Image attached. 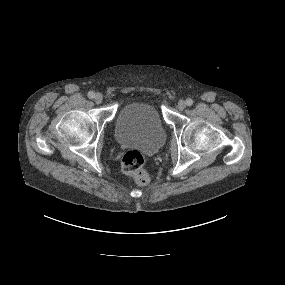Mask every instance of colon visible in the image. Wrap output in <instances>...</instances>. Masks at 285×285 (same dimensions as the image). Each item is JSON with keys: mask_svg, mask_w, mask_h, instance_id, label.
Listing matches in <instances>:
<instances>
[{"mask_svg": "<svg viewBox=\"0 0 285 285\" xmlns=\"http://www.w3.org/2000/svg\"><path fill=\"white\" fill-rule=\"evenodd\" d=\"M145 157L137 150L125 153L122 159V168L125 174L132 177L138 184L147 185L149 176L144 169Z\"/></svg>", "mask_w": 285, "mask_h": 285, "instance_id": "colon-1", "label": "colon"}]
</instances>
